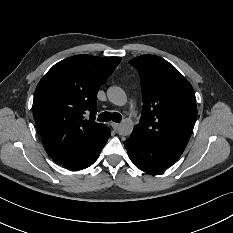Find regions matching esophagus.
<instances>
[{
	"label": "esophagus",
	"instance_id": "34e87169",
	"mask_svg": "<svg viewBox=\"0 0 233 233\" xmlns=\"http://www.w3.org/2000/svg\"><path fill=\"white\" fill-rule=\"evenodd\" d=\"M111 127H112L114 130H117L118 127H119V123L112 122V123H111Z\"/></svg>",
	"mask_w": 233,
	"mask_h": 233
}]
</instances>
